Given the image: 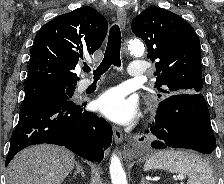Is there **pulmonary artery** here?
Returning a JSON list of instances; mask_svg holds the SVG:
<instances>
[{
    "instance_id": "pulmonary-artery-1",
    "label": "pulmonary artery",
    "mask_w": 224,
    "mask_h": 184,
    "mask_svg": "<svg viewBox=\"0 0 224 184\" xmlns=\"http://www.w3.org/2000/svg\"><path fill=\"white\" fill-rule=\"evenodd\" d=\"M147 73L146 66L141 61H133L130 63L128 74L131 77H142ZM92 83L89 79H83L78 84V90H84Z\"/></svg>"
}]
</instances>
